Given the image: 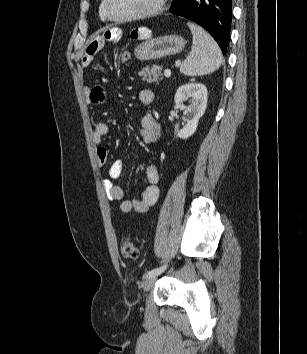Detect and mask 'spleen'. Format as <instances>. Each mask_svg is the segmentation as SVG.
Returning <instances> with one entry per match:
<instances>
[{"instance_id": "obj_1", "label": "spleen", "mask_w": 307, "mask_h": 354, "mask_svg": "<svg viewBox=\"0 0 307 354\" xmlns=\"http://www.w3.org/2000/svg\"><path fill=\"white\" fill-rule=\"evenodd\" d=\"M193 35L192 50L180 67L181 73L187 76H202L216 71L222 64L221 50L202 27L188 23Z\"/></svg>"}]
</instances>
